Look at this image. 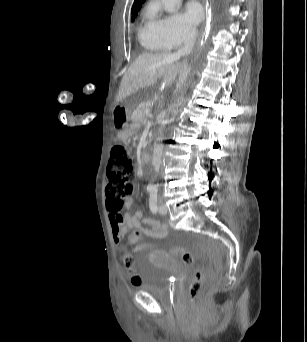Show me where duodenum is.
Here are the masks:
<instances>
[{
	"instance_id": "obj_1",
	"label": "duodenum",
	"mask_w": 307,
	"mask_h": 342,
	"mask_svg": "<svg viewBox=\"0 0 307 342\" xmlns=\"http://www.w3.org/2000/svg\"><path fill=\"white\" fill-rule=\"evenodd\" d=\"M140 157H141V162H142L143 165L148 163V161H149V153L147 151H142Z\"/></svg>"
}]
</instances>
